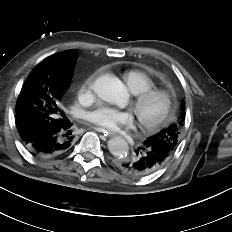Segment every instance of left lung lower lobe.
Returning <instances> with one entry per match:
<instances>
[{
	"label": "left lung lower lobe",
	"instance_id": "obj_1",
	"mask_svg": "<svg viewBox=\"0 0 232 232\" xmlns=\"http://www.w3.org/2000/svg\"><path fill=\"white\" fill-rule=\"evenodd\" d=\"M171 154L163 147L144 141L136 150L133 159L119 161L118 167L126 174L135 177L150 175L163 167Z\"/></svg>",
	"mask_w": 232,
	"mask_h": 232
}]
</instances>
